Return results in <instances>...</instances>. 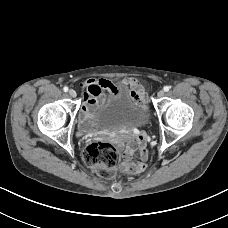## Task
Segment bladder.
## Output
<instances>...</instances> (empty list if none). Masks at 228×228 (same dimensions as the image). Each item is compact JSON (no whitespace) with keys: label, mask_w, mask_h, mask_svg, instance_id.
Returning <instances> with one entry per match:
<instances>
[{"label":"bladder","mask_w":228,"mask_h":228,"mask_svg":"<svg viewBox=\"0 0 228 228\" xmlns=\"http://www.w3.org/2000/svg\"><path fill=\"white\" fill-rule=\"evenodd\" d=\"M150 115L132 90L122 84L111 89L92 116L90 125L100 130L128 129L148 123Z\"/></svg>","instance_id":"1"}]
</instances>
